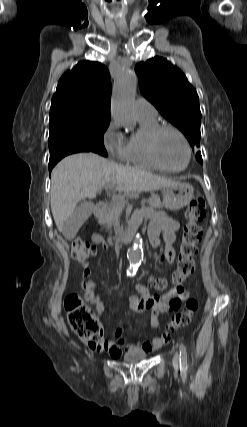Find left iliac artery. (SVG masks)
Returning <instances> with one entry per match:
<instances>
[{"instance_id":"1","label":"left iliac artery","mask_w":247,"mask_h":427,"mask_svg":"<svg viewBox=\"0 0 247 427\" xmlns=\"http://www.w3.org/2000/svg\"><path fill=\"white\" fill-rule=\"evenodd\" d=\"M187 366V350L186 347L181 344L180 345V369L184 370Z\"/></svg>"}]
</instances>
